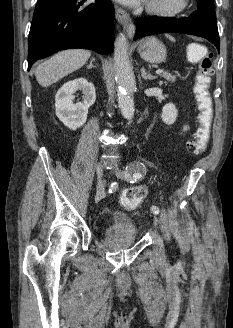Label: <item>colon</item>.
Segmentation results:
<instances>
[{
  "label": "colon",
  "instance_id": "obj_1",
  "mask_svg": "<svg viewBox=\"0 0 233 328\" xmlns=\"http://www.w3.org/2000/svg\"><path fill=\"white\" fill-rule=\"evenodd\" d=\"M190 58L199 61V70L193 88L194 107L198 111V126L188 143L193 153L203 152L209 142L213 120V102L210 94V84L213 75L212 54L206 49L191 47ZM147 195L143 186L131 187L121 196V204L127 210L136 209Z\"/></svg>",
  "mask_w": 233,
  "mask_h": 328
}]
</instances>
